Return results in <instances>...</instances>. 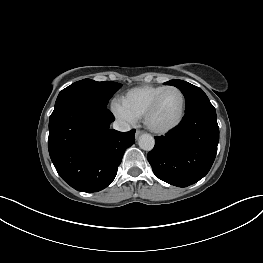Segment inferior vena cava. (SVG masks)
<instances>
[{
  "label": "inferior vena cava",
  "instance_id": "1",
  "mask_svg": "<svg viewBox=\"0 0 263 263\" xmlns=\"http://www.w3.org/2000/svg\"><path fill=\"white\" fill-rule=\"evenodd\" d=\"M113 128L120 132H126L131 129L130 125L127 122L122 121V120H116L113 123Z\"/></svg>",
  "mask_w": 263,
  "mask_h": 263
}]
</instances>
